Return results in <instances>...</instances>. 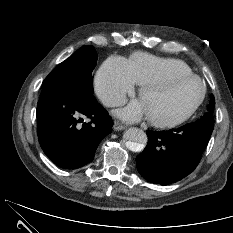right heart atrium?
Segmentation results:
<instances>
[{"label":"right heart atrium","instance_id":"d8ad5b80","mask_svg":"<svg viewBox=\"0 0 233 233\" xmlns=\"http://www.w3.org/2000/svg\"><path fill=\"white\" fill-rule=\"evenodd\" d=\"M93 91L106 107L123 104L135 91V84L125 59L121 57L107 59L94 75Z\"/></svg>","mask_w":233,"mask_h":233}]
</instances>
